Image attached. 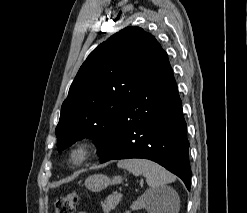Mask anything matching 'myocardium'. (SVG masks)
<instances>
[{
  "instance_id": "f54148a6",
  "label": "myocardium",
  "mask_w": 247,
  "mask_h": 213,
  "mask_svg": "<svg viewBox=\"0 0 247 213\" xmlns=\"http://www.w3.org/2000/svg\"><path fill=\"white\" fill-rule=\"evenodd\" d=\"M95 144L89 139H80L74 142L68 151V162L74 167L84 165L92 157Z\"/></svg>"
}]
</instances>
